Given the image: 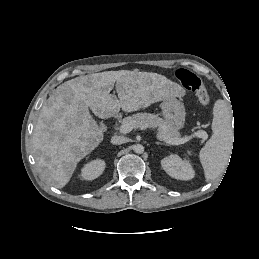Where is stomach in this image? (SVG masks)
<instances>
[{"label":"stomach","mask_w":259,"mask_h":259,"mask_svg":"<svg viewBox=\"0 0 259 259\" xmlns=\"http://www.w3.org/2000/svg\"><path fill=\"white\" fill-rule=\"evenodd\" d=\"M161 109L165 121L173 124L177 130L184 127L186 113L182 102L176 98L165 99L161 104Z\"/></svg>","instance_id":"stomach-1"}]
</instances>
